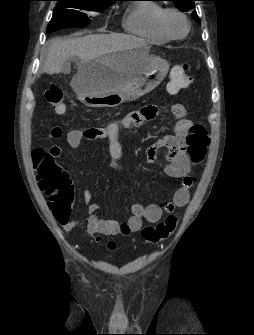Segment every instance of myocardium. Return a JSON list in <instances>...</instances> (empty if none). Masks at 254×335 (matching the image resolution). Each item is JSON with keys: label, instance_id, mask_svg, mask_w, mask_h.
Masks as SVG:
<instances>
[{"label": "myocardium", "instance_id": "f54148a6", "mask_svg": "<svg viewBox=\"0 0 254 335\" xmlns=\"http://www.w3.org/2000/svg\"><path fill=\"white\" fill-rule=\"evenodd\" d=\"M167 14H176L184 20V22L186 24V30L182 35L173 36L166 30L165 25H164V18ZM156 27H157V30L159 31V33L161 35H163L166 39H168V40H181V39L185 38L188 35V33L190 32L191 23H190L188 17L186 16V14L183 13L182 11H180L179 9L163 8L160 11V13L158 14L157 18H156Z\"/></svg>", "mask_w": 254, "mask_h": 335}]
</instances>
